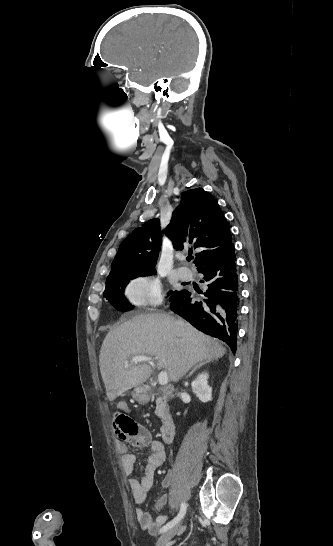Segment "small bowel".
<instances>
[{"label":"small bowel","mask_w":333,"mask_h":546,"mask_svg":"<svg viewBox=\"0 0 333 546\" xmlns=\"http://www.w3.org/2000/svg\"><path fill=\"white\" fill-rule=\"evenodd\" d=\"M127 405L126 401H121L118 410L120 412L130 413V409ZM130 420L135 424L134 433L129 436L126 441H119L117 443L124 472L127 475H131L134 471L135 456L129 452L130 445L136 447L148 446L150 449V455L146 459L142 478L140 480L134 478L129 479V487L133 502L137 506H140L145 502L147 494L153 486L154 474L157 468L164 463L166 454L162 442L154 440L150 431L144 426L136 424L132 419ZM164 486L168 487L169 482L164 481ZM162 504L163 500H160L157 506L160 507ZM136 519L143 529L154 534L168 520V516L159 515L154 518L150 513L145 512L138 507L136 509Z\"/></svg>","instance_id":"obj_1"}]
</instances>
